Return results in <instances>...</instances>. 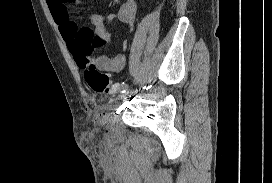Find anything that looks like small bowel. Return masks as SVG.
Returning <instances> with one entry per match:
<instances>
[{"label":"small bowel","mask_w":272,"mask_h":183,"mask_svg":"<svg viewBox=\"0 0 272 183\" xmlns=\"http://www.w3.org/2000/svg\"><path fill=\"white\" fill-rule=\"evenodd\" d=\"M54 21L59 26L60 33L66 41L70 53L73 55L77 66L86 70L89 66L110 72L119 73L125 66V57L117 54L93 56V51L109 44L111 35L104 24L101 14L90 12L86 15L92 27L78 23L79 0H47ZM119 20L134 28L138 15L136 0H124L118 11ZM121 48H127V42L121 43Z\"/></svg>","instance_id":"1"}]
</instances>
